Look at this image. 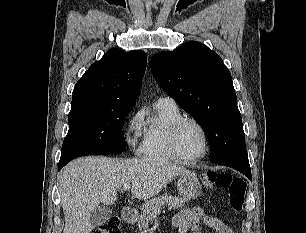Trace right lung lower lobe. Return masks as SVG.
Segmentation results:
<instances>
[{"instance_id": "obj_1", "label": "right lung lower lobe", "mask_w": 306, "mask_h": 233, "mask_svg": "<svg viewBox=\"0 0 306 233\" xmlns=\"http://www.w3.org/2000/svg\"><path fill=\"white\" fill-rule=\"evenodd\" d=\"M67 163L66 162H63V163H60L59 162V165H58V170H60L64 165H66Z\"/></svg>"}]
</instances>
